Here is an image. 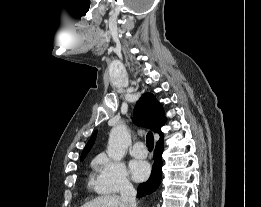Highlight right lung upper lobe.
<instances>
[{"mask_svg": "<svg viewBox=\"0 0 261 207\" xmlns=\"http://www.w3.org/2000/svg\"><path fill=\"white\" fill-rule=\"evenodd\" d=\"M134 123L136 125L145 126L153 132L160 135L158 142L163 141V133L161 127L165 124L166 118L162 105L156 100L153 94L145 93L137 102L135 107ZM97 132L95 131L90 140L86 144L81 158H85L86 154L90 151L94 144ZM157 142V143H158Z\"/></svg>", "mask_w": 261, "mask_h": 207, "instance_id": "right-lung-upper-lobe-1", "label": "right lung upper lobe"}]
</instances>
